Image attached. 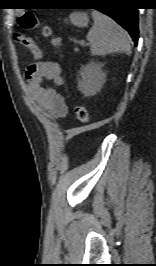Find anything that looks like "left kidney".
Wrapping results in <instances>:
<instances>
[{"label":"left kidney","mask_w":156,"mask_h":266,"mask_svg":"<svg viewBox=\"0 0 156 266\" xmlns=\"http://www.w3.org/2000/svg\"><path fill=\"white\" fill-rule=\"evenodd\" d=\"M81 80L78 81V89L85 97L95 95L105 83L106 75L102 71V64L91 62L81 68Z\"/></svg>","instance_id":"1"}]
</instances>
